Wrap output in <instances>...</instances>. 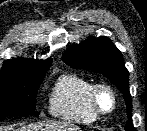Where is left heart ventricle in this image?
I'll return each instance as SVG.
<instances>
[{
  "label": "left heart ventricle",
  "instance_id": "obj_1",
  "mask_svg": "<svg viewBox=\"0 0 147 131\" xmlns=\"http://www.w3.org/2000/svg\"><path fill=\"white\" fill-rule=\"evenodd\" d=\"M99 104L103 109H109L112 105V97L107 91L99 94Z\"/></svg>",
  "mask_w": 147,
  "mask_h": 131
}]
</instances>
